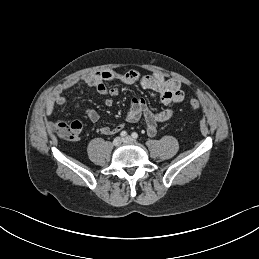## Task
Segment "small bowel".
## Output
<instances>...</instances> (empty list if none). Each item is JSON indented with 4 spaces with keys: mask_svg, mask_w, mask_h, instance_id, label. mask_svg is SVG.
Masks as SVG:
<instances>
[{
    "mask_svg": "<svg viewBox=\"0 0 259 259\" xmlns=\"http://www.w3.org/2000/svg\"><path fill=\"white\" fill-rule=\"evenodd\" d=\"M115 80L119 81L121 85L124 86L138 84L144 90H148L153 94H159L161 103L167 106L166 108L155 112L147 106L144 97L135 96L133 98L126 116V121L134 123L143 120L146 124L147 135L150 137L156 135L159 124L168 121L173 116L174 110L170 106L178 104L184 99V92L181 88V84L174 78H166L159 73L141 77L139 72L135 69L118 73L113 69L107 68L81 76L69 77L55 90L53 100L46 105L44 112L46 115H49L56 106H65L67 101L64 92L78 84H84L94 88L99 94L105 97L106 106H111L113 104V99L120 91V87H107L106 83ZM85 112L92 123L99 121L100 115L95 109L87 108ZM123 128L124 123H119L114 127L101 126L100 132L103 135H113L120 132Z\"/></svg>",
    "mask_w": 259,
    "mask_h": 259,
    "instance_id": "small-bowel-1",
    "label": "small bowel"
}]
</instances>
